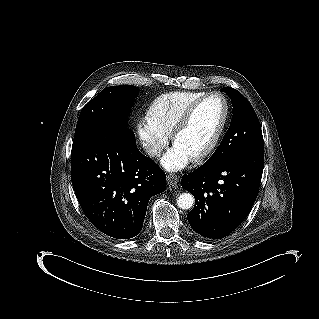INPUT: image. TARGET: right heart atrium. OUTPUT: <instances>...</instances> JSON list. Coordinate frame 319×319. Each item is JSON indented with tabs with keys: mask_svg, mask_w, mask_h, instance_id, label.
<instances>
[{
	"mask_svg": "<svg viewBox=\"0 0 319 319\" xmlns=\"http://www.w3.org/2000/svg\"><path fill=\"white\" fill-rule=\"evenodd\" d=\"M138 132L151 157H158L167 146V133L155 128L147 122L140 125Z\"/></svg>",
	"mask_w": 319,
	"mask_h": 319,
	"instance_id": "1",
	"label": "right heart atrium"
}]
</instances>
